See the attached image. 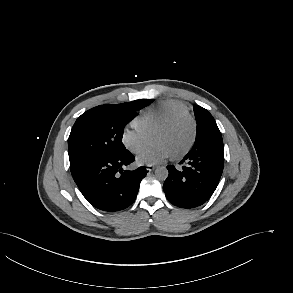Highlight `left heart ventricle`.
I'll use <instances>...</instances> for the list:
<instances>
[{"mask_svg":"<svg viewBox=\"0 0 293 293\" xmlns=\"http://www.w3.org/2000/svg\"><path fill=\"white\" fill-rule=\"evenodd\" d=\"M190 138L191 124L187 120H182L168 130L154 132L152 142L165 144L174 155L185 149Z\"/></svg>","mask_w":293,"mask_h":293,"instance_id":"left-heart-ventricle-1","label":"left heart ventricle"}]
</instances>
